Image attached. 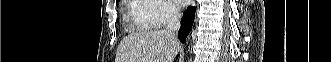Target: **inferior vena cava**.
Listing matches in <instances>:
<instances>
[{
  "label": "inferior vena cava",
  "instance_id": "obj_1",
  "mask_svg": "<svg viewBox=\"0 0 331 62\" xmlns=\"http://www.w3.org/2000/svg\"><path fill=\"white\" fill-rule=\"evenodd\" d=\"M180 18H181V14H180L179 10L174 6L169 7L168 16H167V24H166V28L164 31L175 40H177L176 34L181 25Z\"/></svg>",
  "mask_w": 331,
  "mask_h": 62
}]
</instances>
